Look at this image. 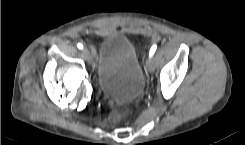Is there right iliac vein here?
<instances>
[{"instance_id":"obj_1","label":"right iliac vein","mask_w":245,"mask_h":145,"mask_svg":"<svg viewBox=\"0 0 245 145\" xmlns=\"http://www.w3.org/2000/svg\"><path fill=\"white\" fill-rule=\"evenodd\" d=\"M83 53L86 55V57H87L88 59L91 58V54H90V52H89L87 49H84V50H83Z\"/></svg>"}]
</instances>
